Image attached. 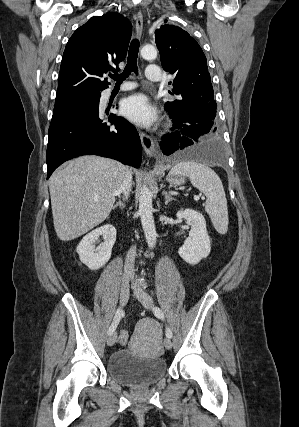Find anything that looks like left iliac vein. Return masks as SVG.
<instances>
[{
	"instance_id": "left-iliac-vein-1",
	"label": "left iliac vein",
	"mask_w": 299,
	"mask_h": 427,
	"mask_svg": "<svg viewBox=\"0 0 299 427\" xmlns=\"http://www.w3.org/2000/svg\"><path fill=\"white\" fill-rule=\"evenodd\" d=\"M134 295L146 309H149V310L152 309L153 299L147 292L138 288L134 290ZM164 346L168 350L172 348V341L170 338L166 337L164 339Z\"/></svg>"
}]
</instances>
